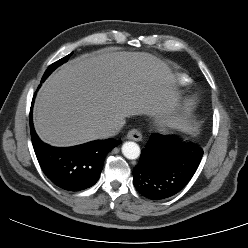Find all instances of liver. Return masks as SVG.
Wrapping results in <instances>:
<instances>
[{
	"label": "liver",
	"mask_w": 248,
	"mask_h": 248,
	"mask_svg": "<svg viewBox=\"0 0 248 248\" xmlns=\"http://www.w3.org/2000/svg\"><path fill=\"white\" fill-rule=\"evenodd\" d=\"M177 98L168 66L149 53L84 54L45 81L34 126L44 142L71 146L107 138V128L126 117L167 113Z\"/></svg>",
	"instance_id": "6515ba94"
}]
</instances>
